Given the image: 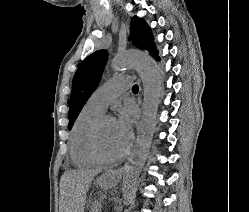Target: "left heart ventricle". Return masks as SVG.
Masks as SVG:
<instances>
[{"mask_svg": "<svg viewBox=\"0 0 249 212\" xmlns=\"http://www.w3.org/2000/svg\"><path fill=\"white\" fill-rule=\"evenodd\" d=\"M98 145L100 151L108 157L117 156L123 152L121 144L116 137L114 120L110 117L105 118L100 126Z\"/></svg>", "mask_w": 249, "mask_h": 212, "instance_id": "1", "label": "left heart ventricle"}]
</instances>
